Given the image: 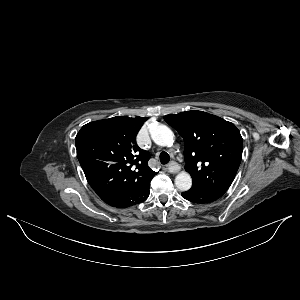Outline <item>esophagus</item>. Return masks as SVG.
Returning <instances> with one entry per match:
<instances>
[{"mask_svg":"<svg viewBox=\"0 0 300 300\" xmlns=\"http://www.w3.org/2000/svg\"><path fill=\"white\" fill-rule=\"evenodd\" d=\"M167 170H168V172L174 174V173H177L179 171V167L175 162L172 161L167 165Z\"/></svg>","mask_w":300,"mask_h":300,"instance_id":"1","label":"esophagus"}]
</instances>
